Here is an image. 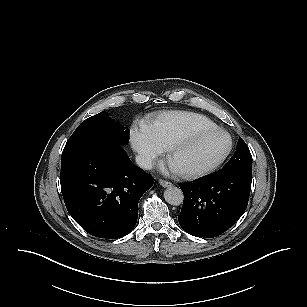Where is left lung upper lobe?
<instances>
[{
    "label": "left lung upper lobe",
    "mask_w": 307,
    "mask_h": 307,
    "mask_svg": "<svg viewBox=\"0 0 307 307\" xmlns=\"http://www.w3.org/2000/svg\"><path fill=\"white\" fill-rule=\"evenodd\" d=\"M252 156L250 150L242 138H239L236 151L227 164L215 174H223L229 172H251Z\"/></svg>",
    "instance_id": "1"
}]
</instances>
